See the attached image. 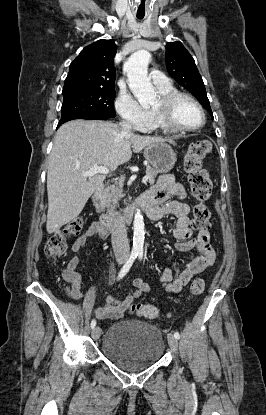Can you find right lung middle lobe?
<instances>
[{"label":"right lung middle lobe","mask_w":266,"mask_h":415,"mask_svg":"<svg viewBox=\"0 0 266 415\" xmlns=\"http://www.w3.org/2000/svg\"><path fill=\"white\" fill-rule=\"evenodd\" d=\"M115 88H84L63 92L61 116L115 117Z\"/></svg>","instance_id":"1"}]
</instances>
